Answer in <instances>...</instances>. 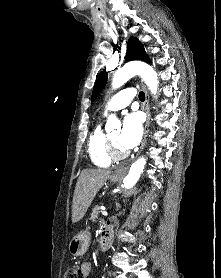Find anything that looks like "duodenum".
<instances>
[{
  "mask_svg": "<svg viewBox=\"0 0 221 278\" xmlns=\"http://www.w3.org/2000/svg\"><path fill=\"white\" fill-rule=\"evenodd\" d=\"M113 237V224L107 225L101 233L100 242H99V251L105 252L109 249Z\"/></svg>",
  "mask_w": 221,
  "mask_h": 278,
  "instance_id": "1",
  "label": "duodenum"
}]
</instances>
